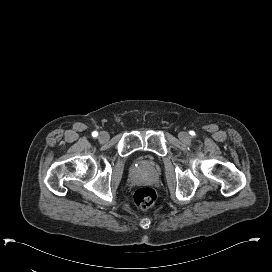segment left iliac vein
<instances>
[{"label": "left iliac vein", "instance_id": "obj_1", "mask_svg": "<svg viewBox=\"0 0 272 272\" xmlns=\"http://www.w3.org/2000/svg\"><path fill=\"white\" fill-rule=\"evenodd\" d=\"M179 139L184 142L187 143L190 141V136L187 132H180L179 133Z\"/></svg>", "mask_w": 272, "mask_h": 272}]
</instances>
